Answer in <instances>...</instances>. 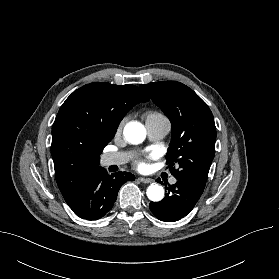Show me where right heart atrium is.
I'll list each match as a JSON object with an SVG mask.
<instances>
[{
	"mask_svg": "<svg viewBox=\"0 0 279 279\" xmlns=\"http://www.w3.org/2000/svg\"><path fill=\"white\" fill-rule=\"evenodd\" d=\"M125 121H126L125 118H123V119L118 123L117 129H116L117 133H119V132L122 131L123 126H124V124H125Z\"/></svg>",
	"mask_w": 279,
	"mask_h": 279,
	"instance_id": "d8ad5b80",
	"label": "right heart atrium"
}]
</instances>
